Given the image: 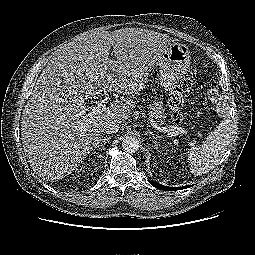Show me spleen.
<instances>
[{
  "label": "spleen",
  "mask_w": 255,
  "mask_h": 255,
  "mask_svg": "<svg viewBox=\"0 0 255 255\" xmlns=\"http://www.w3.org/2000/svg\"><path fill=\"white\" fill-rule=\"evenodd\" d=\"M231 134V122L224 119L207 136L203 145H197L189 150L188 162L192 174L200 176L214 169L226 151Z\"/></svg>",
  "instance_id": "spleen-1"
}]
</instances>
